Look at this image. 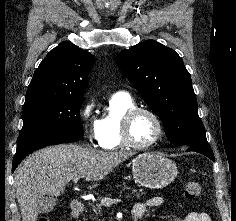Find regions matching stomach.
<instances>
[{
	"mask_svg": "<svg viewBox=\"0 0 236 221\" xmlns=\"http://www.w3.org/2000/svg\"><path fill=\"white\" fill-rule=\"evenodd\" d=\"M133 178L137 184L150 189H160L177 177V166L157 153H142L132 161Z\"/></svg>",
	"mask_w": 236,
	"mask_h": 221,
	"instance_id": "0dacf381",
	"label": "stomach"
}]
</instances>
